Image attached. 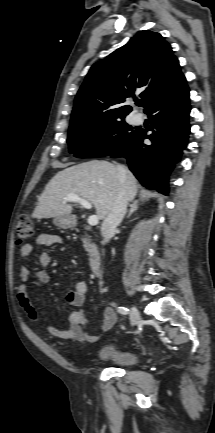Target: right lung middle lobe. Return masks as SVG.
Here are the masks:
<instances>
[{
	"label": "right lung middle lobe",
	"mask_w": 215,
	"mask_h": 433,
	"mask_svg": "<svg viewBox=\"0 0 215 433\" xmlns=\"http://www.w3.org/2000/svg\"><path fill=\"white\" fill-rule=\"evenodd\" d=\"M124 118L70 125L67 140L70 153L80 158H91L117 152L136 133Z\"/></svg>",
	"instance_id": "right-lung-middle-lobe-1"
}]
</instances>
